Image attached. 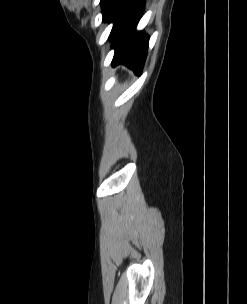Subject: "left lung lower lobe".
<instances>
[{
  "label": "left lung lower lobe",
  "mask_w": 247,
  "mask_h": 304,
  "mask_svg": "<svg viewBox=\"0 0 247 304\" xmlns=\"http://www.w3.org/2000/svg\"><path fill=\"white\" fill-rule=\"evenodd\" d=\"M103 22H112L109 38L115 37L112 65L124 64L140 75L146 59L149 37L136 31L144 0H101Z\"/></svg>",
  "instance_id": "left-lung-lower-lobe-1"
}]
</instances>
